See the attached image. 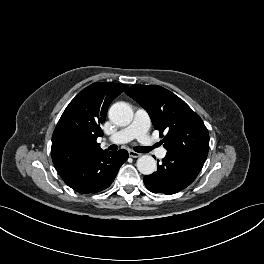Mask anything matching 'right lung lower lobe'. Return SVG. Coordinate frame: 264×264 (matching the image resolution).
Wrapping results in <instances>:
<instances>
[{
	"mask_svg": "<svg viewBox=\"0 0 264 264\" xmlns=\"http://www.w3.org/2000/svg\"><path fill=\"white\" fill-rule=\"evenodd\" d=\"M128 159L125 150H107L60 172L64 182L79 193H97L108 188Z\"/></svg>",
	"mask_w": 264,
	"mask_h": 264,
	"instance_id": "1",
	"label": "right lung lower lobe"
}]
</instances>
